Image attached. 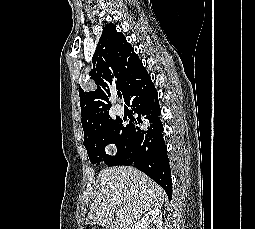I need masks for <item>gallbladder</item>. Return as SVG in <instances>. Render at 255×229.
I'll return each mask as SVG.
<instances>
[{"label":"gallbladder","mask_w":255,"mask_h":229,"mask_svg":"<svg viewBox=\"0 0 255 229\" xmlns=\"http://www.w3.org/2000/svg\"><path fill=\"white\" fill-rule=\"evenodd\" d=\"M105 229H112L111 225L106 226Z\"/></svg>","instance_id":"gallbladder-1"}]
</instances>
